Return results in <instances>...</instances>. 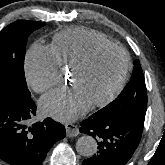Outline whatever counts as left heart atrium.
I'll return each instance as SVG.
<instances>
[{"instance_id":"obj_1","label":"left heart atrium","mask_w":165,"mask_h":165,"mask_svg":"<svg viewBox=\"0 0 165 165\" xmlns=\"http://www.w3.org/2000/svg\"><path fill=\"white\" fill-rule=\"evenodd\" d=\"M89 100L77 87L59 88L47 93L40 101L41 110L62 122L73 121L85 113Z\"/></svg>"}]
</instances>
